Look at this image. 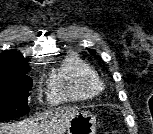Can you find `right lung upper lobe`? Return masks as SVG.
<instances>
[{"mask_svg":"<svg viewBox=\"0 0 153 134\" xmlns=\"http://www.w3.org/2000/svg\"><path fill=\"white\" fill-rule=\"evenodd\" d=\"M29 59L16 51H4L0 54V76L26 75L30 70Z\"/></svg>","mask_w":153,"mask_h":134,"instance_id":"1","label":"right lung upper lobe"}]
</instances>
